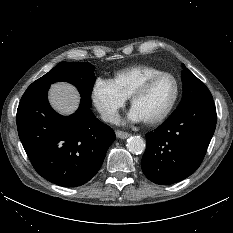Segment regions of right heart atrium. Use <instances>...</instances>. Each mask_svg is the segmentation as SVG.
Wrapping results in <instances>:
<instances>
[{
    "label": "right heart atrium",
    "instance_id": "d8ad5b80",
    "mask_svg": "<svg viewBox=\"0 0 233 233\" xmlns=\"http://www.w3.org/2000/svg\"><path fill=\"white\" fill-rule=\"evenodd\" d=\"M91 99L101 117L110 123L118 119L120 109L126 98L115 88L110 80L98 78L91 90Z\"/></svg>",
    "mask_w": 233,
    "mask_h": 233
}]
</instances>
